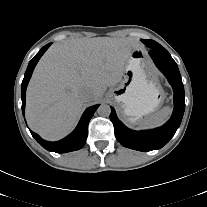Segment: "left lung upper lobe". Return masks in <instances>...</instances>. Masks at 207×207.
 I'll use <instances>...</instances> for the list:
<instances>
[{
  "label": "left lung upper lobe",
  "instance_id": "left-lung-upper-lobe-1",
  "mask_svg": "<svg viewBox=\"0 0 207 207\" xmlns=\"http://www.w3.org/2000/svg\"><path fill=\"white\" fill-rule=\"evenodd\" d=\"M142 42L146 44L150 49H161L163 48L160 44L155 42L154 40H144L142 39Z\"/></svg>",
  "mask_w": 207,
  "mask_h": 207
}]
</instances>
